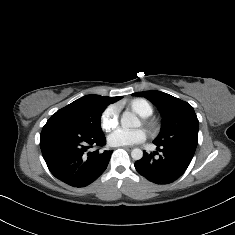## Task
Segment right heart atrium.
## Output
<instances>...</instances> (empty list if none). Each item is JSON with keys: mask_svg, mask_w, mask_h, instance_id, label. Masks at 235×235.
Returning <instances> with one entry per match:
<instances>
[{"mask_svg": "<svg viewBox=\"0 0 235 235\" xmlns=\"http://www.w3.org/2000/svg\"><path fill=\"white\" fill-rule=\"evenodd\" d=\"M99 123L104 131H111L118 126L119 123V107L116 104H109L102 111Z\"/></svg>", "mask_w": 235, "mask_h": 235, "instance_id": "d8ad5b80", "label": "right heart atrium"}]
</instances>
